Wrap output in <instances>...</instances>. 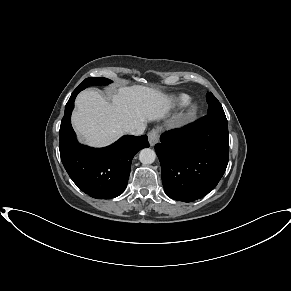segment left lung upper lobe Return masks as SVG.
Wrapping results in <instances>:
<instances>
[{"mask_svg": "<svg viewBox=\"0 0 291 291\" xmlns=\"http://www.w3.org/2000/svg\"><path fill=\"white\" fill-rule=\"evenodd\" d=\"M206 99L208 103V115L225 114L220 102L211 92L207 93Z\"/></svg>", "mask_w": 291, "mask_h": 291, "instance_id": "left-lung-upper-lobe-1", "label": "left lung upper lobe"}]
</instances>
